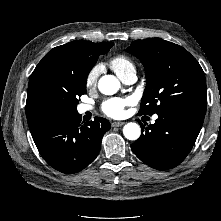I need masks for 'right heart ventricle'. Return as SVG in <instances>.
<instances>
[{
	"mask_svg": "<svg viewBox=\"0 0 221 221\" xmlns=\"http://www.w3.org/2000/svg\"><path fill=\"white\" fill-rule=\"evenodd\" d=\"M110 67L120 78L130 69H135L133 62L126 56L118 55L110 60Z\"/></svg>",
	"mask_w": 221,
	"mask_h": 221,
	"instance_id": "e07e8e85",
	"label": "right heart ventricle"
}]
</instances>
